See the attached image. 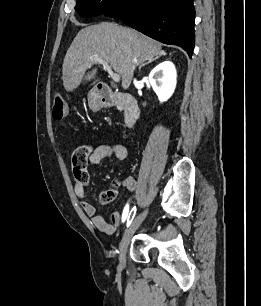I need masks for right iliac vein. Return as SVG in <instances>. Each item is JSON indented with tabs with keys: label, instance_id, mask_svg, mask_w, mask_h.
<instances>
[{
	"label": "right iliac vein",
	"instance_id": "63e3f726",
	"mask_svg": "<svg viewBox=\"0 0 261 306\" xmlns=\"http://www.w3.org/2000/svg\"><path fill=\"white\" fill-rule=\"evenodd\" d=\"M147 210L140 213L130 224V226L124 231L120 246H119V265L121 268H124L126 265V252L129 246L130 240L135 233V231L139 228L143 220L147 216Z\"/></svg>",
	"mask_w": 261,
	"mask_h": 306
}]
</instances>
